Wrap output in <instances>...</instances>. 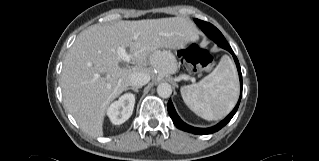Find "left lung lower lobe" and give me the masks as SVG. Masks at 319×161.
<instances>
[{
  "label": "left lung lower lobe",
  "mask_w": 319,
  "mask_h": 161,
  "mask_svg": "<svg viewBox=\"0 0 319 161\" xmlns=\"http://www.w3.org/2000/svg\"><path fill=\"white\" fill-rule=\"evenodd\" d=\"M198 26L202 29V31L210 38V37H215V35L213 34V32L211 30H209L208 28H206V26L202 23H198ZM222 48L226 49L227 51H229L232 55L233 58L235 60L237 69H238V73H239V79H240V87H241V94H240V98L239 101L237 103V105L235 106V108L232 110V112L224 119L222 120L220 123H218L217 125L213 126V127H209V128H196L193 126H190L188 124H186L185 122H183L180 117L178 116V114L176 113L174 106L172 104L171 99L168 101V113L174 123V125L183 130V131H187L189 133H193V134H200V135H206V134H211L214 132L219 131L221 128H223L234 116V114L236 113L239 104H240V100L242 97V74H241V69H240V65H239V61L237 59V57L234 55L231 47L229 46V44H225L222 45Z\"/></svg>",
  "instance_id": "left-lung-lower-lobe-1"
}]
</instances>
